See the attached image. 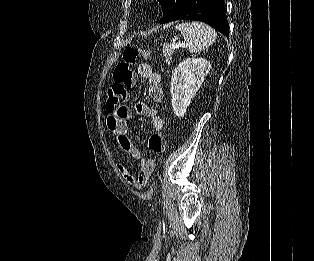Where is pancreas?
Returning a JSON list of instances; mask_svg holds the SVG:
<instances>
[{"label":"pancreas","instance_id":"1","mask_svg":"<svg viewBox=\"0 0 314 261\" xmlns=\"http://www.w3.org/2000/svg\"><path fill=\"white\" fill-rule=\"evenodd\" d=\"M173 53H174V48L170 47L169 44H165L164 49H163V57L165 58V62L167 65L170 64Z\"/></svg>","mask_w":314,"mask_h":261}]
</instances>
